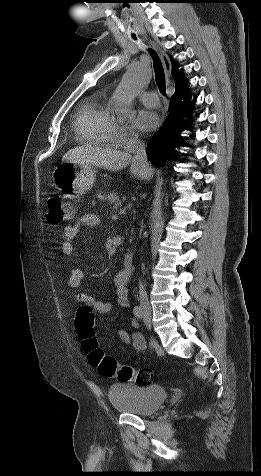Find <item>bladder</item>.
<instances>
[{
    "label": "bladder",
    "instance_id": "1",
    "mask_svg": "<svg viewBox=\"0 0 261 476\" xmlns=\"http://www.w3.org/2000/svg\"><path fill=\"white\" fill-rule=\"evenodd\" d=\"M108 397L112 406L119 412L148 416L162 407L167 398V393L159 385L122 382L109 388Z\"/></svg>",
    "mask_w": 261,
    "mask_h": 476
}]
</instances>
